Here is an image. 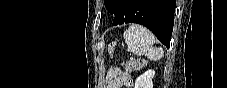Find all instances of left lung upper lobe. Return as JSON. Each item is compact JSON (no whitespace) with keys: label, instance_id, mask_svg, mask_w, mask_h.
Instances as JSON below:
<instances>
[{"label":"left lung upper lobe","instance_id":"1","mask_svg":"<svg viewBox=\"0 0 227 88\" xmlns=\"http://www.w3.org/2000/svg\"><path fill=\"white\" fill-rule=\"evenodd\" d=\"M118 1L119 0H104L106 8L111 14L115 13Z\"/></svg>","mask_w":227,"mask_h":88}]
</instances>
